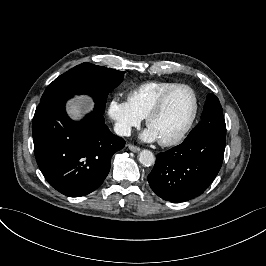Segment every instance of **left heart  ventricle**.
<instances>
[{"label": "left heart ventricle", "instance_id": "b2bd125f", "mask_svg": "<svg viewBox=\"0 0 266 266\" xmlns=\"http://www.w3.org/2000/svg\"><path fill=\"white\" fill-rule=\"evenodd\" d=\"M194 107L192 93L186 88H179L169 96L163 110L151 119L149 126L158 139L174 138L190 121Z\"/></svg>", "mask_w": 266, "mask_h": 266}]
</instances>
